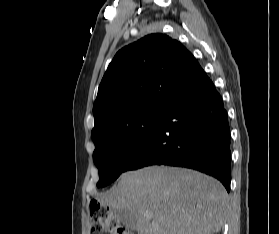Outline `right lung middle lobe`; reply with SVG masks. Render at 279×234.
<instances>
[{"label":"right lung middle lobe","instance_id":"dd1d6c3e","mask_svg":"<svg viewBox=\"0 0 279 234\" xmlns=\"http://www.w3.org/2000/svg\"><path fill=\"white\" fill-rule=\"evenodd\" d=\"M165 107H147L109 121L93 138V160L99 170L97 187H105L125 171L158 123Z\"/></svg>","mask_w":279,"mask_h":234}]
</instances>
